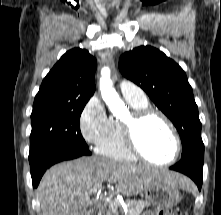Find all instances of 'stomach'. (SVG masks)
I'll use <instances>...</instances> for the list:
<instances>
[{
	"instance_id": "0dacf381",
	"label": "stomach",
	"mask_w": 221,
	"mask_h": 215,
	"mask_svg": "<svg viewBox=\"0 0 221 215\" xmlns=\"http://www.w3.org/2000/svg\"><path fill=\"white\" fill-rule=\"evenodd\" d=\"M181 200L178 187L165 182H155L145 189V201L158 207H173Z\"/></svg>"
}]
</instances>
